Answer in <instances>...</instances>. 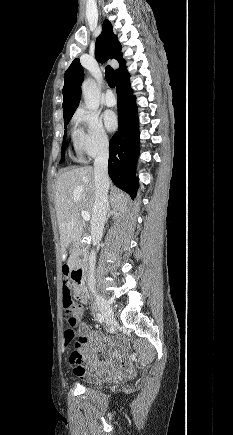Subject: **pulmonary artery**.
Returning <instances> with one entry per match:
<instances>
[{
  "instance_id": "e3ab8cb5",
  "label": "pulmonary artery",
  "mask_w": 233,
  "mask_h": 435,
  "mask_svg": "<svg viewBox=\"0 0 233 435\" xmlns=\"http://www.w3.org/2000/svg\"><path fill=\"white\" fill-rule=\"evenodd\" d=\"M104 102L107 106H114L116 104V97L112 91H107Z\"/></svg>"
}]
</instances>
